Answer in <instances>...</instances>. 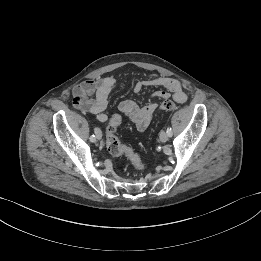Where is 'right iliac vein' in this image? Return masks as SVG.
<instances>
[{
  "label": "right iliac vein",
  "mask_w": 261,
  "mask_h": 261,
  "mask_svg": "<svg viewBox=\"0 0 261 261\" xmlns=\"http://www.w3.org/2000/svg\"><path fill=\"white\" fill-rule=\"evenodd\" d=\"M95 134H96V138H97L98 140H100V139L102 138V132H101L100 129H97L96 132H95Z\"/></svg>",
  "instance_id": "1"
}]
</instances>
